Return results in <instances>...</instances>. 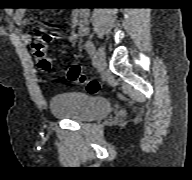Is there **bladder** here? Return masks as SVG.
I'll return each instance as SVG.
<instances>
[{"label":"bladder","mask_w":192,"mask_h":180,"mask_svg":"<svg viewBox=\"0 0 192 180\" xmlns=\"http://www.w3.org/2000/svg\"><path fill=\"white\" fill-rule=\"evenodd\" d=\"M49 107L56 119L78 123L102 118L112 109L107 99L79 92L55 95L50 99Z\"/></svg>","instance_id":"bladder-1"}]
</instances>
